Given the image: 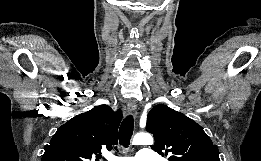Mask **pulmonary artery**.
<instances>
[{"mask_svg":"<svg viewBox=\"0 0 261 161\" xmlns=\"http://www.w3.org/2000/svg\"><path fill=\"white\" fill-rule=\"evenodd\" d=\"M150 150L147 148L141 149L134 158L130 157H117L111 156V161H152V158L149 156Z\"/></svg>","mask_w":261,"mask_h":161,"instance_id":"e3ab8cb5","label":"pulmonary artery"}]
</instances>
